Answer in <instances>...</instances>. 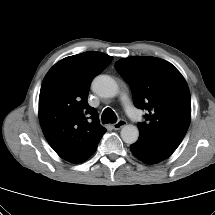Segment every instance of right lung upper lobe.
<instances>
[{
    "mask_svg": "<svg viewBox=\"0 0 215 215\" xmlns=\"http://www.w3.org/2000/svg\"><path fill=\"white\" fill-rule=\"evenodd\" d=\"M112 59L94 51L69 56L56 63L43 80L39 96L40 124L53 150L69 162L87 160L106 132L87 98L92 79Z\"/></svg>",
    "mask_w": 215,
    "mask_h": 215,
    "instance_id": "1",
    "label": "right lung upper lobe"
}]
</instances>
